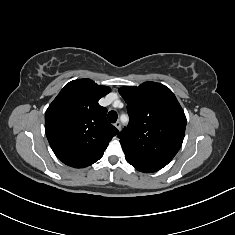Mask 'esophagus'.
I'll use <instances>...</instances> for the list:
<instances>
[{"mask_svg": "<svg viewBox=\"0 0 235 235\" xmlns=\"http://www.w3.org/2000/svg\"><path fill=\"white\" fill-rule=\"evenodd\" d=\"M114 126H115L118 130H120V129H121V123H120V121H117V122L114 124Z\"/></svg>", "mask_w": 235, "mask_h": 235, "instance_id": "1", "label": "esophagus"}]
</instances>
